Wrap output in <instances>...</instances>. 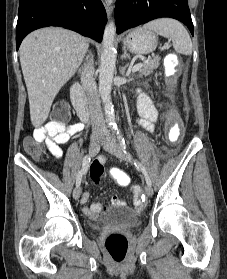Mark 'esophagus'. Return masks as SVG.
Listing matches in <instances>:
<instances>
[{
  "instance_id": "34e87169",
  "label": "esophagus",
  "mask_w": 227,
  "mask_h": 279,
  "mask_svg": "<svg viewBox=\"0 0 227 279\" xmlns=\"http://www.w3.org/2000/svg\"><path fill=\"white\" fill-rule=\"evenodd\" d=\"M107 14L110 16L113 10L112 0H102Z\"/></svg>"
}]
</instances>
